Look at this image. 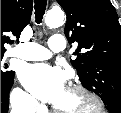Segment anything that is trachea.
<instances>
[{
  "label": "trachea",
  "mask_w": 121,
  "mask_h": 113,
  "mask_svg": "<svg viewBox=\"0 0 121 113\" xmlns=\"http://www.w3.org/2000/svg\"><path fill=\"white\" fill-rule=\"evenodd\" d=\"M47 0H35V17L36 22L40 24L42 22L43 15L45 13Z\"/></svg>",
  "instance_id": "trachea-1"
}]
</instances>
